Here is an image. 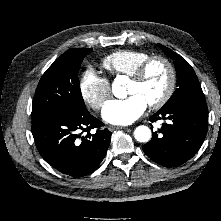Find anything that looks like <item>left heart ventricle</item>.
<instances>
[{
  "mask_svg": "<svg viewBox=\"0 0 221 221\" xmlns=\"http://www.w3.org/2000/svg\"><path fill=\"white\" fill-rule=\"evenodd\" d=\"M168 70L162 62L156 61L150 65L145 77L140 82L129 81L127 94H138L147 104L158 100L168 84Z\"/></svg>",
  "mask_w": 221,
  "mask_h": 221,
  "instance_id": "1",
  "label": "left heart ventricle"
}]
</instances>
